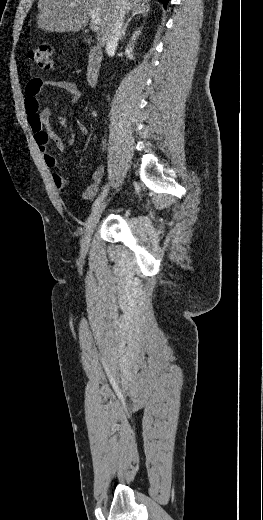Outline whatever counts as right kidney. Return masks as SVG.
<instances>
[{
	"mask_svg": "<svg viewBox=\"0 0 263 520\" xmlns=\"http://www.w3.org/2000/svg\"><path fill=\"white\" fill-rule=\"evenodd\" d=\"M139 34H140V30H137V31H135V32L133 33V35H132V37H131V41H132V43L130 42V43L128 44V46L126 47V49H125V54L127 55V57H128L129 59H133V58H134V57H133V48H134V47H133V41L136 40V38L139 36Z\"/></svg>",
	"mask_w": 263,
	"mask_h": 520,
	"instance_id": "1",
	"label": "right kidney"
}]
</instances>
